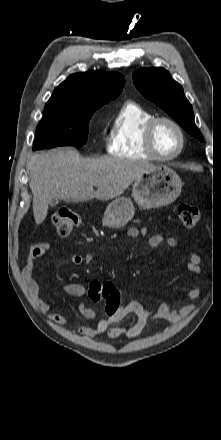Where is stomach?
Masks as SVG:
<instances>
[{
  "label": "stomach",
  "mask_w": 221,
  "mask_h": 440,
  "mask_svg": "<svg viewBox=\"0 0 221 440\" xmlns=\"http://www.w3.org/2000/svg\"><path fill=\"white\" fill-rule=\"evenodd\" d=\"M179 175L165 165L151 168L138 177L133 184L132 196L143 208L168 205L178 198L182 189ZM135 212L132 201L127 197H117L107 206L103 225L120 228L128 223Z\"/></svg>",
  "instance_id": "obj_1"
}]
</instances>
